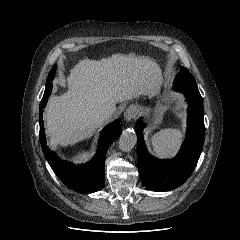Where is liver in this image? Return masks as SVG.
<instances>
[{
	"label": "liver",
	"mask_w": 240,
	"mask_h": 240,
	"mask_svg": "<svg viewBox=\"0 0 240 240\" xmlns=\"http://www.w3.org/2000/svg\"><path fill=\"white\" fill-rule=\"evenodd\" d=\"M158 64L146 57L113 55L81 60L67 77L68 91L49 99L45 121L51 145L67 146L93 135L102 125L98 107L116 110L115 104L141 95L153 97L161 82Z\"/></svg>",
	"instance_id": "obj_1"
}]
</instances>
